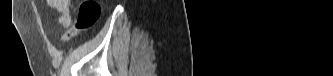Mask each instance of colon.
I'll use <instances>...</instances> for the list:
<instances>
[{
    "label": "colon",
    "instance_id": "5ec220e1",
    "mask_svg": "<svg viewBox=\"0 0 333 76\" xmlns=\"http://www.w3.org/2000/svg\"><path fill=\"white\" fill-rule=\"evenodd\" d=\"M100 16L99 4L94 0H84L81 2L78 17L74 27L63 37L64 41L72 39L76 34L85 32L93 27Z\"/></svg>",
    "mask_w": 333,
    "mask_h": 76
}]
</instances>
